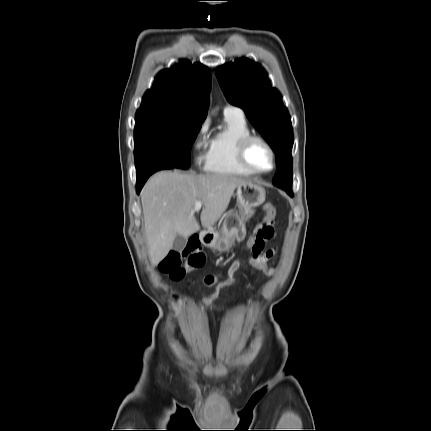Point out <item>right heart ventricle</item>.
Returning a JSON list of instances; mask_svg holds the SVG:
<instances>
[{
    "label": "right heart ventricle",
    "mask_w": 431,
    "mask_h": 431,
    "mask_svg": "<svg viewBox=\"0 0 431 431\" xmlns=\"http://www.w3.org/2000/svg\"><path fill=\"white\" fill-rule=\"evenodd\" d=\"M225 127L209 142L205 170L220 175L252 176L237 158L239 141L250 135V129L243 116L224 114Z\"/></svg>",
    "instance_id": "1"
}]
</instances>
